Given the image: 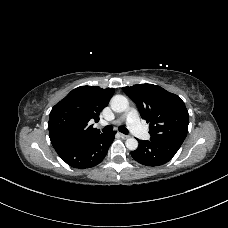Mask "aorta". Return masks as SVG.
Returning a JSON list of instances; mask_svg holds the SVG:
<instances>
[{
    "label": "aorta",
    "mask_w": 228,
    "mask_h": 228,
    "mask_svg": "<svg viewBox=\"0 0 228 228\" xmlns=\"http://www.w3.org/2000/svg\"><path fill=\"white\" fill-rule=\"evenodd\" d=\"M111 108L114 112H124L129 105L128 99L123 95H115L111 99ZM129 150H136L138 148V141L135 138H128L125 142Z\"/></svg>",
    "instance_id": "obj_1"
}]
</instances>
